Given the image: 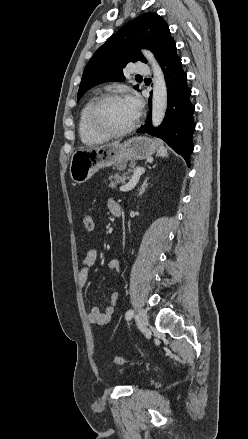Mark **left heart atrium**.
<instances>
[{"mask_svg": "<svg viewBox=\"0 0 248 439\" xmlns=\"http://www.w3.org/2000/svg\"><path fill=\"white\" fill-rule=\"evenodd\" d=\"M126 100L130 104V106L133 108L135 113L138 114L139 111H140V108H141L140 100L137 97H135V96H129V97H127Z\"/></svg>", "mask_w": 248, "mask_h": 439, "instance_id": "obj_1", "label": "left heart atrium"}]
</instances>
